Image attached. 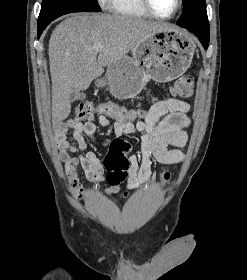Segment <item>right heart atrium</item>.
Segmentation results:
<instances>
[{
  "mask_svg": "<svg viewBox=\"0 0 247 280\" xmlns=\"http://www.w3.org/2000/svg\"><path fill=\"white\" fill-rule=\"evenodd\" d=\"M99 3L104 4L106 2V0H98Z\"/></svg>",
  "mask_w": 247,
  "mask_h": 280,
  "instance_id": "obj_1",
  "label": "right heart atrium"
}]
</instances>
